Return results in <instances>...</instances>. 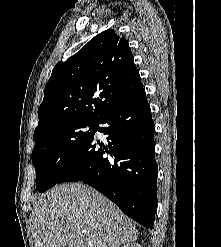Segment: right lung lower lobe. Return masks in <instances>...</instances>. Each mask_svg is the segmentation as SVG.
Masks as SVG:
<instances>
[{
	"label": "right lung lower lobe",
	"instance_id": "1",
	"mask_svg": "<svg viewBox=\"0 0 221 247\" xmlns=\"http://www.w3.org/2000/svg\"><path fill=\"white\" fill-rule=\"evenodd\" d=\"M154 130L145 90L141 89L96 122L95 131L108 137L97 140L93 136L57 183L84 182L151 229L158 176Z\"/></svg>",
	"mask_w": 221,
	"mask_h": 247
}]
</instances>
